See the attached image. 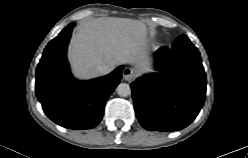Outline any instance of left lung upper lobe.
Listing matches in <instances>:
<instances>
[{
	"label": "left lung upper lobe",
	"mask_w": 248,
	"mask_h": 158,
	"mask_svg": "<svg viewBox=\"0 0 248 158\" xmlns=\"http://www.w3.org/2000/svg\"><path fill=\"white\" fill-rule=\"evenodd\" d=\"M177 39L189 41L188 37H186L185 35H181Z\"/></svg>",
	"instance_id": "left-lung-upper-lobe-1"
}]
</instances>
